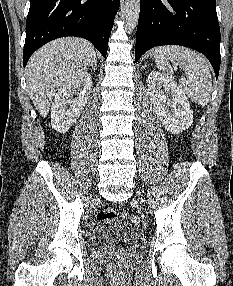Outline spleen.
<instances>
[{
  "instance_id": "spleen-1",
  "label": "spleen",
  "mask_w": 233,
  "mask_h": 286,
  "mask_svg": "<svg viewBox=\"0 0 233 286\" xmlns=\"http://www.w3.org/2000/svg\"><path fill=\"white\" fill-rule=\"evenodd\" d=\"M154 59L157 67L165 74L173 71L169 61L179 65L185 72V77L180 80L183 92L195 104L207 105L212 91V79L209 64L204 57L187 47L166 45L154 50Z\"/></svg>"
}]
</instances>
